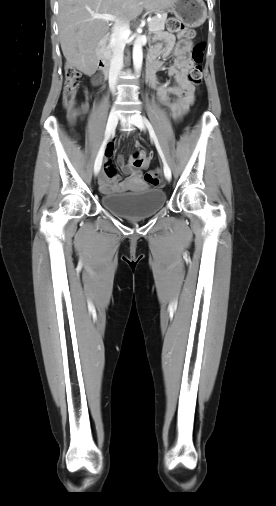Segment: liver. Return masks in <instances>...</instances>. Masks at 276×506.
<instances>
[{
  "mask_svg": "<svg viewBox=\"0 0 276 506\" xmlns=\"http://www.w3.org/2000/svg\"><path fill=\"white\" fill-rule=\"evenodd\" d=\"M174 0H59V39L67 62L93 74L95 47L109 30V21L92 14H108L130 21L146 11L169 8Z\"/></svg>",
  "mask_w": 276,
  "mask_h": 506,
  "instance_id": "1",
  "label": "liver"
}]
</instances>
